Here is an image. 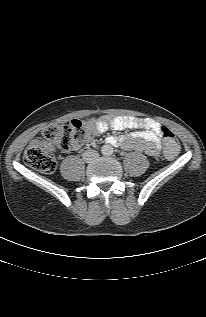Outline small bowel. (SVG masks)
I'll use <instances>...</instances> for the list:
<instances>
[{"label":"small bowel","mask_w":206,"mask_h":317,"mask_svg":"<svg viewBox=\"0 0 206 317\" xmlns=\"http://www.w3.org/2000/svg\"><path fill=\"white\" fill-rule=\"evenodd\" d=\"M86 125L93 128L96 133H103L109 129L117 131L140 129L128 135L109 136L107 143L129 150L144 151L152 156L160 152L163 126L153 119L133 116L100 117L88 120ZM79 147L80 144L75 145L72 150H77Z\"/></svg>","instance_id":"small-bowel-1"}]
</instances>
